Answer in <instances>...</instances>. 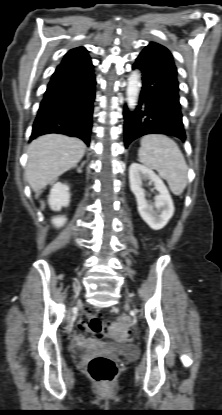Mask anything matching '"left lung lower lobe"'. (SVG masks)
Segmentation results:
<instances>
[{"instance_id":"0a47b994","label":"left lung lower lobe","mask_w":222,"mask_h":415,"mask_svg":"<svg viewBox=\"0 0 222 415\" xmlns=\"http://www.w3.org/2000/svg\"><path fill=\"white\" fill-rule=\"evenodd\" d=\"M133 69L142 75L139 105L134 111L125 106L124 144L146 134H165L185 141L179 103L177 69L171 53L151 42L139 54Z\"/></svg>"}]
</instances>
